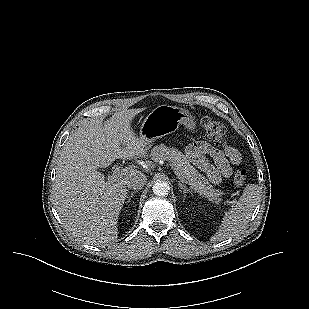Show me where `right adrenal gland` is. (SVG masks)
<instances>
[{
  "label": "right adrenal gland",
  "mask_w": 309,
  "mask_h": 309,
  "mask_svg": "<svg viewBox=\"0 0 309 309\" xmlns=\"http://www.w3.org/2000/svg\"><path fill=\"white\" fill-rule=\"evenodd\" d=\"M139 191V189H134V191H132L128 197L127 202H130V200L133 198L134 194L137 193Z\"/></svg>",
  "instance_id": "right-adrenal-gland-1"
}]
</instances>
